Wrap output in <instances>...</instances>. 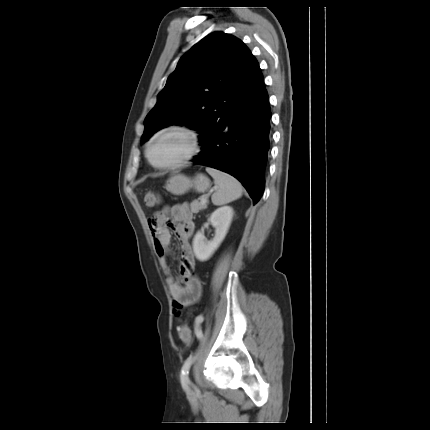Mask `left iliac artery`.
Returning <instances> with one entry per match:
<instances>
[{
  "mask_svg": "<svg viewBox=\"0 0 430 430\" xmlns=\"http://www.w3.org/2000/svg\"><path fill=\"white\" fill-rule=\"evenodd\" d=\"M195 320H196V322H195V333L197 334V337L200 340H202V338H203L202 322L204 320V317H203V315L198 314V315H196ZM194 360H195V356L191 354L185 360V362H184V364L182 366L181 376L180 377H181V382L183 384H187L189 382V377H188L189 370H190V367H191L192 363L194 362Z\"/></svg>",
  "mask_w": 430,
  "mask_h": 430,
  "instance_id": "left-iliac-artery-1",
  "label": "left iliac artery"
}]
</instances>
